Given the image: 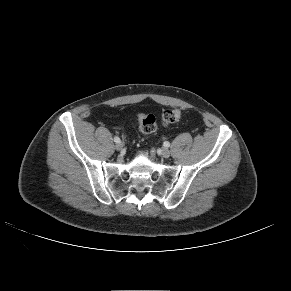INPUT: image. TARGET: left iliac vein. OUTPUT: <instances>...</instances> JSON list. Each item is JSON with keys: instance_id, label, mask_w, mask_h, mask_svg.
Wrapping results in <instances>:
<instances>
[{"instance_id": "obj_1", "label": "left iliac vein", "mask_w": 291, "mask_h": 291, "mask_svg": "<svg viewBox=\"0 0 291 291\" xmlns=\"http://www.w3.org/2000/svg\"><path fill=\"white\" fill-rule=\"evenodd\" d=\"M161 156L164 158H168L170 156V151L167 148L161 149Z\"/></svg>"}]
</instances>
